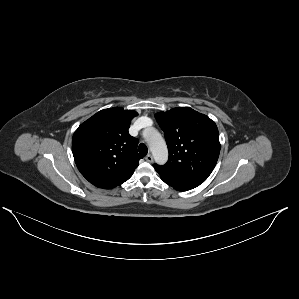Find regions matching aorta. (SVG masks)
<instances>
[{"instance_id": "obj_1", "label": "aorta", "mask_w": 299, "mask_h": 299, "mask_svg": "<svg viewBox=\"0 0 299 299\" xmlns=\"http://www.w3.org/2000/svg\"><path fill=\"white\" fill-rule=\"evenodd\" d=\"M147 143L154 156L155 162L163 165L168 160V150L165 140L155 129H151V135L146 138Z\"/></svg>"}]
</instances>
